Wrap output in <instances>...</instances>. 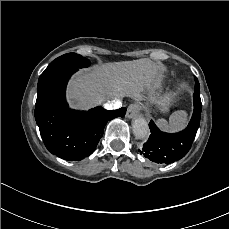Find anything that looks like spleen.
<instances>
[{
    "label": "spleen",
    "mask_w": 229,
    "mask_h": 229,
    "mask_svg": "<svg viewBox=\"0 0 229 229\" xmlns=\"http://www.w3.org/2000/svg\"><path fill=\"white\" fill-rule=\"evenodd\" d=\"M186 123L187 113L183 110L174 112L169 118V123L165 119H159L157 121L158 127L167 132H177L183 129Z\"/></svg>",
    "instance_id": "spleen-1"
}]
</instances>
